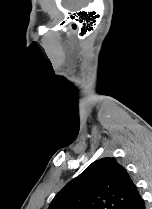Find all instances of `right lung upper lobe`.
Wrapping results in <instances>:
<instances>
[{
	"instance_id": "right-lung-upper-lobe-1",
	"label": "right lung upper lobe",
	"mask_w": 152,
	"mask_h": 209,
	"mask_svg": "<svg viewBox=\"0 0 152 209\" xmlns=\"http://www.w3.org/2000/svg\"><path fill=\"white\" fill-rule=\"evenodd\" d=\"M138 192L115 158H102L71 180L48 209H124Z\"/></svg>"
}]
</instances>
